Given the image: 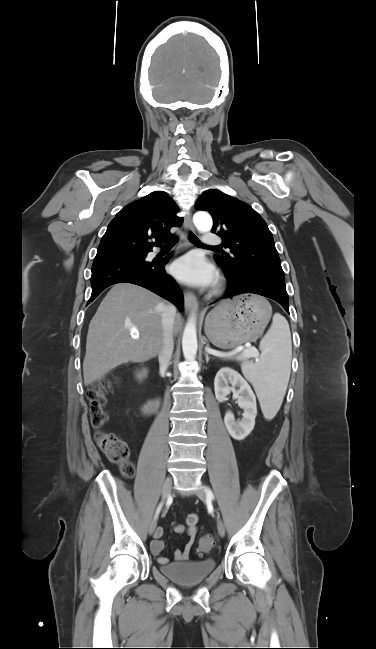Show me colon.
Here are the masks:
<instances>
[{
	"mask_svg": "<svg viewBox=\"0 0 376 649\" xmlns=\"http://www.w3.org/2000/svg\"><path fill=\"white\" fill-rule=\"evenodd\" d=\"M111 389L112 381L110 379H102L87 389L86 398L90 405L91 424L97 430L94 437L98 447L111 462L119 465L121 473L125 477L130 478L134 475L135 468L128 459V445L116 434L102 430L107 422V414L104 410L106 395ZM195 520L196 518L193 517L192 521ZM214 544V538L205 535L200 538L197 551L199 553L208 552Z\"/></svg>",
	"mask_w": 376,
	"mask_h": 649,
	"instance_id": "obj_1",
	"label": "colon"
}]
</instances>
